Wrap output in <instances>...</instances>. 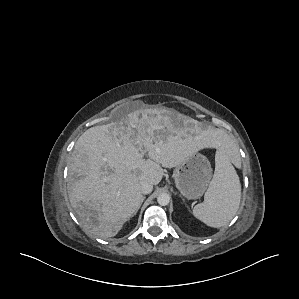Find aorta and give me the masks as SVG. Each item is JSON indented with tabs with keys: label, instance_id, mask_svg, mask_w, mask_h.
<instances>
[{
	"label": "aorta",
	"instance_id": "obj_1",
	"mask_svg": "<svg viewBox=\"0 0 299 299\" xmlns=\"http://www.w3.org/2000/svg\"><path fill=\"white\" fill-rule=\"evenodd\" d=\"M157 202L161 206H166L170 202V196L167 193H162L157 197Z\"/></svg>",
	"mask_w": 299,
	"mask_h": 299
}]
</instances>
